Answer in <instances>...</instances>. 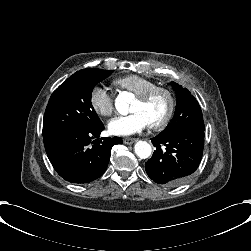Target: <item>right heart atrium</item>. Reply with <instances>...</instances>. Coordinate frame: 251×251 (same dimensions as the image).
<instances>
[{"mask_svg":"<svg viewBox=\"0 0 251 251\" xmlns=\"http://www.w3.org/2000/svg\"><path fill=\"white\" fill-rule=\"evenodd\" d=\"M91 108L102 116H109L114 111V98L108 89L101 85H94L89 93Z\"/></svg>","mask_w":251,"mask_h":251,"instance_id":"1","label":"right heart atrium"}]
</instances>
